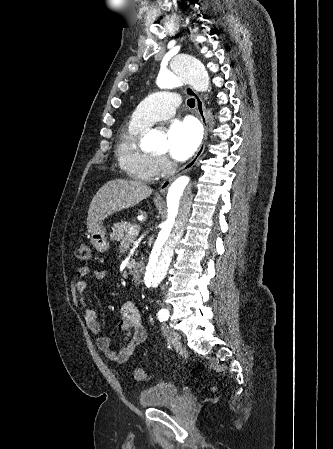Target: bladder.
Instances as JSON below:
<instances>
[{"instance_id":"obj_1","label":"bladder","mask_w":333,"mask_h":449,"mask_svg":"<svg viewBox=\"0 0 333 449\" xmlns=\"http://www.w3.org/2000/svg\"><path fill=\"white\" fill-rule=\"evenodd\" d=\"M180 396L179 387L172 382H158L143 390L138 398L141 407L158 408L175 404Z\"/></svg>"}]
</instances>
